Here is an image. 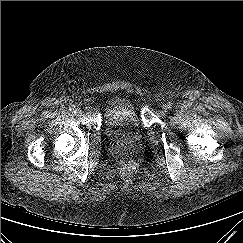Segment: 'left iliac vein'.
<instances>
[{"instance_id":"1","label":"left iliac vein","mask_w":243,"mask_h":243,"mask_svg":"<svg viewBox=\"0 0 243 243\" xmlns=\"http://www.w3.org/2000/svg\"><path fill=\"white\" fill-rule=\"evenodd\" d=\"M162 112L165 114V113H167V111H168V108H167V106L166 105H162Z\"/></svg>"}]
</instances>
